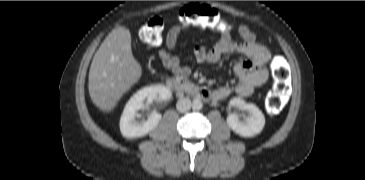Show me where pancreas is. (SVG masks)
<instances>
[{"mask_svg":"<svg viewBox=\"0 0 365 180\" xmlns=\"http://www.w3.org/2000/svg\"><path fill=\"white\" fill-rule=\"evenodd\" d=\"M194 85L192 83H190L189 81H185L183 84H182V88L185 90V91H189L191 88H193Z\"/></svg>","mask_w":365,"mask_h":180,"instance_id":"cf45deb5","label":"pancreas"}]
</instances>
